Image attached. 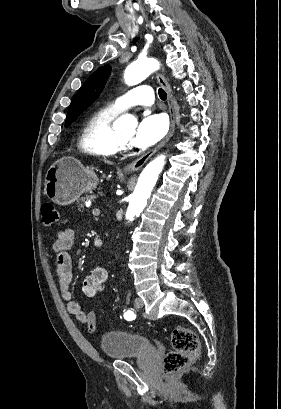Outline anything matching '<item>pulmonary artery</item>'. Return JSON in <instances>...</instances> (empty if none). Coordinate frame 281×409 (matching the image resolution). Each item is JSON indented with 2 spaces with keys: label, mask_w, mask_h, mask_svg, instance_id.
I'll list each match as a JSON object with an SVG mask.
<instances>
[{
  "label": "pulmonary artery",
  "mask_w": 281,
  "mask_h": 409,
  "mask_svg": "<svg viewBox=\"0 0 281 409\" xmlns=\"http://www.w3.org/2000/svg\"><path fill=\"white\" fill-rule=\"evenodd\" d=\"M146 87L144 82H141L139 86H134L132 90H126L124 97H119L117 102H114V111H127L128 106H144L149 107L153 103L154 91L143 90Z\"/></svg>",
  "instance_id": "pulmonary-artery-1"
}]
</instances>
